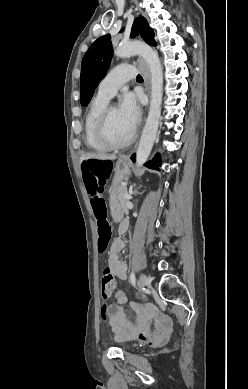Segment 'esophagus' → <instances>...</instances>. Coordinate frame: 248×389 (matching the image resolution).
<instances>
[{
    "mask_svg": "<svg viewBox=\"0 0 248 389\" xmlns=\"http://www.w3.org/2000/svg\"><path fill=\"white\" fill-rule=\"evenodd\" d=\"M138 60L140 61L141 65H142V68L145 71V78H146V83L148 85V93H149L150 76H149V73H148V70L146 68V65H145L144 61L141 58H139Z\"/></svg>",
    "mask_w": 248,
    "mask_h": 389,
    "instance_id": "obj_1",
    "label": "esophagus"
}]
</instances>
